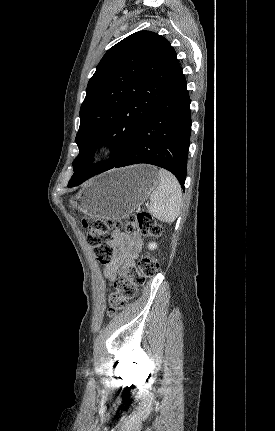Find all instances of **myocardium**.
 <instances>
[{"label": "myocardium", "instance_id": "1", "mask_svg": "<svg viewBox=\"0 0 275 431\" xmlns=\"http://www.w3.org/2000/svg\"><path fill=\"white\" fill-rule=\"evenodd\" d=\"M115 151V141L111 137L101 138L94 148V155L98 158H105Z\"/></svg>", "mask_w": 275, "mask_h": 431}]
</instances>
